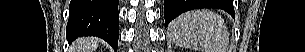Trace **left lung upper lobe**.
<instances>
[{"instance_id":"5c2ea615","label":"left lung upper lobe","mask_w":305,"mask_h":52,"mask_svg":"<svg viewBox=\"0 0 305 52\" xmlns=\"http://www.w3.org/2000/svg\"><path fill=\"white\" fill-rule=\"evenodd\" d=\"M208 2L212 7L215 8H226L228 7L231 3L229 0H205Z\"/></svg>"}]
</instances>
